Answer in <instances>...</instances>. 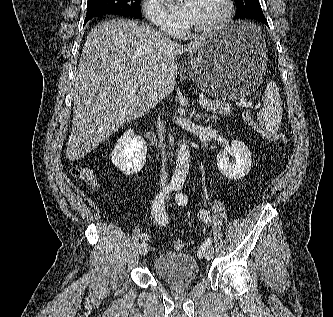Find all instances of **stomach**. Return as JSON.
Returning a JSON list of instances; mask_svg holds the SVG:
<instances>
[{
    "label": "stomach",
    "instance_id": "0dacf381",
    "mask_svg": "<svg viewBox=\"0 0 333 317\" xmlns=\"http://www.w3.org/2000/svg\"><path fill=\"white\" fill-rule=\"evenodd\" d=\"M265 39L260 24L231 23L208 35L191 62L195 83L222 100L262 95L265 73Z\"/></svg>",
    "mask_w": 333,
    "mask_h": 317
}]
</instances>
